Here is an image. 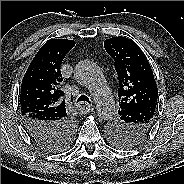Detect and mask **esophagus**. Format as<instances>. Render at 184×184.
<instances>
[{
    "instance_id": "1",
    "label": "esophagus",
    "mask_w": 184,
    "mask_h": 184,
    "mask_svg": "<svg viewBox=\"0 0 184 184\" xmlns=\"http://www.w3.org/2000/svg\"><path fill=\"white\" fill-rule=\"evenodd\" d=\"M76 106H77L78 110L83 112V113H89V112H92L94 110V108L91 105L86 104L84 102H80Z\"/></svg>"
}]
</instances>
